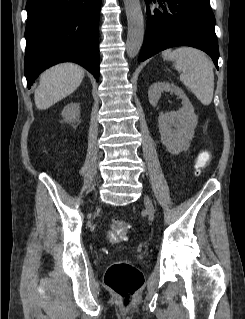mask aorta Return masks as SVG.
Masks as SVG:
<instances>
[{"instance_id":"aorta-1","label":"aorta","mask_w":245,"mask_h":319,"mask_svg":"<svg viewBox=\"0 0 245 319\" xmlns=\"http://www.w3.org/2000/svg\"><path fill=\"white\" fill-rule=\"evenodd\" d=\"M128 23L126 52L128 57L138 55L144 40V19L140 0H123Z\"/></svg>"}]
</instances>
